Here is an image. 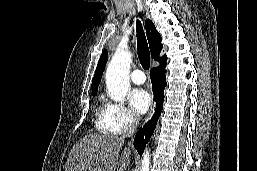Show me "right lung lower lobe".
I'll return each instance as SVG.
<instances>
[{
  "label": "right lung lower lobe",
  "instance_id": "1",
  "mask_svg": "<svg viewBox=\"0 0 257 171\" xmlns=\"http://www.w3.org/2000/svg\"><path fill=\"white\" fill-rule=\"evenodd\" d=\"M165 66L166 62L160 63L159 67L154 68L151 71L152 89L154 93V100L157 102V106L156 112L151 120L144 126V128H141L135 136L134 147L140 155H142L146 143L149 141L151 135L153 134L156 122L162 111L164 88L166 86Z\"/></svg>",
  "mask_w": 257,
  "mask_h": 171
}]
</instances>
